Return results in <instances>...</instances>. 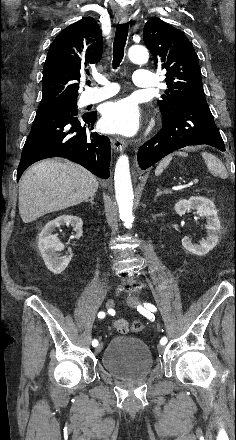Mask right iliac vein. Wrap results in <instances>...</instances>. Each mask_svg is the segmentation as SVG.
Wrapping results in <instances>:
<instances>
[{
	"mask_svg": "<svg viewBox=\"0 0 236 440\" xmlns=\"http://www.w3.org/2000/svg\"><path fill=\"white\" fill-rule=\"evenodd\" d=\"M114 304H115V302H114V300L111 299V298L108 299V300L106 301V307H107L108 309L113 308V307H114ZM102 348H103V344H102V343H99L98 346H97L96 349H95V352H96V353H99V352L102 350Z\"/></svg>",
	"mask_w": 236,
	"mask_h": 440,
	"instance_id": "63e3f726",
	"label": "right iliac vein"
}]
</instances>
